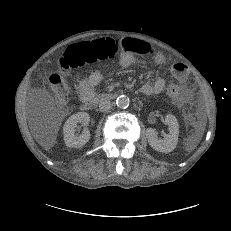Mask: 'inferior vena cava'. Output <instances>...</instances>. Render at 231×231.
I'll return each instance as SVG.
<instances>
[{
	"instance_id": "1",
	"label": "inferior vena cava",
	"mask_w": 231,
	"mask_h": 231,
	"mask_svg": "<svg viewBox=\"0 0 231 231\" xmlns=\"http://www.w3.org/2000/svg\"><path fill=\"white\" fill-rule=\"evenodd\" d=\"M111 108V102L107 99H101L99 101V110L101 112L108 111Z\"/></svg>"
}]
</instances>
